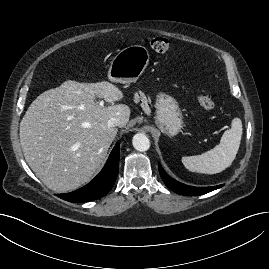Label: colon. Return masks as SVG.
<instances>
[{"label": "colon", "instance_id": "1", "mask_svg": "<svg viewBox=\"0 0 269 269\" xmlns=\"http://www.w3.org/2000/svg\"><path fill=\"white\" fill-rule=\"evenodd\" d=\"M144 42L157 53H169L172 48L169 40L163 37L146 38L144 39ZM197 99L203 109L211 110L214 108V102L209 95L201 92Z\"/></svg>", "mask_w": 269, "mask_h": 269}]
</instances>
